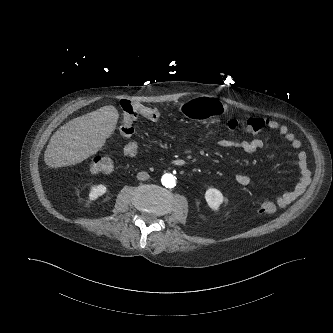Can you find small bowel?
Returning a JSON list of instances; mask_svg holds the SVG:
<instances>
[{
	"label": "small bowel",
	"instance_id": "c3829d8e",
	"mask_svg": "<svg viewBox=\"0 0 333 333\" xmlns=\"http://www.w3.org/2000/svg\"><path fill=\"white\" fill-rule=\"evenodd\" d=\"M137 107H144L143 105L136 104ZM267 127L270 130L277 131L295 150L301 148V141L295 136V134L288 128V126L276 121L268 120ZM218 146L226 149H236L244 154H251L257 151L263 150L265 143L260 138L251 140L242 139H221L218 141ZM120 152L125 157H133L138 152V147L133 142H125L120 147ZM297 162L301 173L300 181L290 191L278 193L276 195V201L279 207L284 208L294 201L302 192L305 187V183L308 178V164L307 155L304 151H298ZM235 181L241 186H247L250 184L251 179L246 174H237Z\"/></svg>",
	"mask_w": 333,
	"mask_h": 333
}]
</instances>
